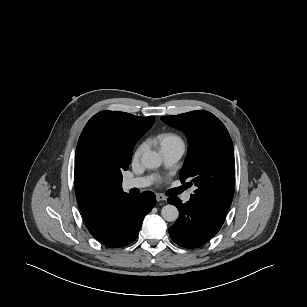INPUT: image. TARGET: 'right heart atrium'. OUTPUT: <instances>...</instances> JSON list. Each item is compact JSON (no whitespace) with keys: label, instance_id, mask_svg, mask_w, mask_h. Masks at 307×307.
<instances>
[{"label":"right heart atrium","instance_id":"right-heart-atrium-1","mask_svg":"<svg viewBox=\"0 0 307 307\" xmlns=\"http://www.w3.org/2000/svg\"><path fill=\"white\" fill-rule=\"evenodd\" d=\"M145 149V144H141L135 151L134 156L139 157Z\"/></svg>","mask_w":307,"mask_h":307}]
</instances>
